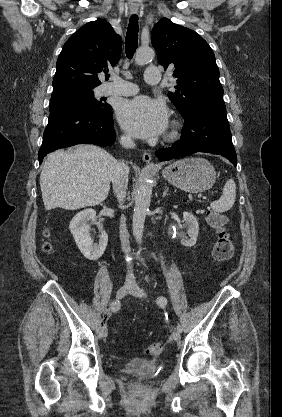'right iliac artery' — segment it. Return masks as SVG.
<instances>
[{
	"label": "right iliac artery",
	"instance_id": "obj_1",
	"mask_svg": "<svg viewBox=\"0 0 282 417\" xmlns=\"http://www.w3.org/2000/svg\"><path fill=\"white\" fill-rule=\"evenodd\" d=\"M120 306H121L120 301H119V300H115V301H113V302L110 304V308H109V310H110L111 312H116V311H118V310L120 309Z\"/></svg>",
	"mask_w": 282,
	"mask_h": 417
}]
</instances>
